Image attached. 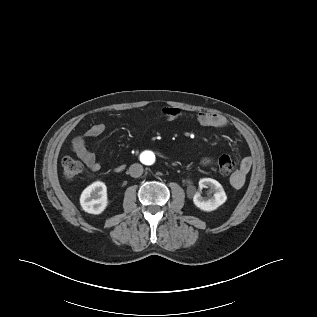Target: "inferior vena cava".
Instances as JSON below:
<instances>
[{
	"instance_id": "inferior-vena-cava-1",
	"label": "inferior vena cava",
	"mask_w": 317,
	"mask_h": 317,
	"mask_svg": "<svg viewBox=\"0 0 317 317\" xmlns=\"http://www.w3.org/2000/svg\"><path fill=\"white\" fill-rule=\"evenodd\" d=\"M128 173L131 177L138 178L143 174V166L138 163L132 164L129 167Z\"/></svg>"
}]
</instances>
